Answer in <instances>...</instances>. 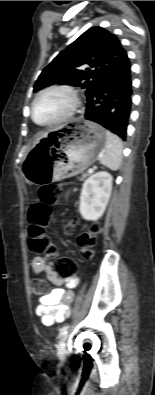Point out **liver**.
<instances>
[{
  "label": "liver",
  "mask_w": 155,
  "mask_h": 395,
  "mask_svg": "<svg viewBox=\"0 0 155 395\" xmlns=\"http://www.w3.org/2000/svg\"><path fill=\"white\" fill-rule=\"evenodd\" d=\"M48 135V132L42 133L39 137H37L34 141V146L40 141L41 138H44Z\"/></svg>",
  "instance_id": "6515ba94"
}]
</instances>
